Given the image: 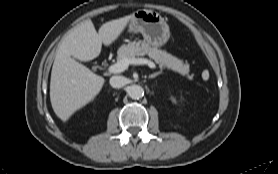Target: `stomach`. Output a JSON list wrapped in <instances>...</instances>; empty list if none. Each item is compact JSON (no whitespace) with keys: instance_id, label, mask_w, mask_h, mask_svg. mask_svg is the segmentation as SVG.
Returning a JSON list of instances; mask_svg holds the SVG:
<instances>
[{"instance_id":"obj_1","label":"stomach","mask_w":278,"mask_h":174,"mask_svg":"<svg viewBox=\"0 0 278 174\" xmlns=\"http://www.w3.org/2000/svg\"><path fill=\"white\" fill-rule=\"evenodd\" d=\"M129 31L141 33L145 42L151 47H161L170 38L166 20L156 11L141 9L132 14Z\"/></svg>"}]
</instances>
